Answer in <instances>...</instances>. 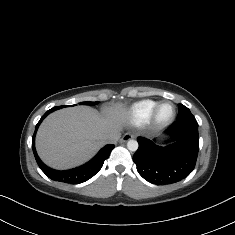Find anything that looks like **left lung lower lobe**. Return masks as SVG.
<instances>
[{
    "label": "left lung lower lobe",
    "mask_w": 235,
    "mask_h": 235,
    "mask_svg": "<svg viewBox=\"0 0 235 235\" xmlns=\"http://www.w3.org/2000/svg\"><path fill=\"white\" fill-rule=\"evenodd\" d=\"M165 133L166 146L156 140L138 137L139 148L133 156L138 173L153 184H171L187 177L194 169L198 151V123L174 122Z\"/></svg>",
    "instance_id": "1"
}]
</instances>
